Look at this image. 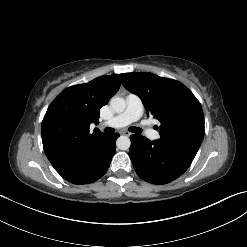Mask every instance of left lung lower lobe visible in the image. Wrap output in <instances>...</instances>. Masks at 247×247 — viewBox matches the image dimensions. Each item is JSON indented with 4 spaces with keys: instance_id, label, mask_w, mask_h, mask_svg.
I'll use <instances>...</instances> for the list:
<instances>
[{
    "instance_id": "0a47b994",
    "label": "left lung lower lobe",
    "mask_w": 247,
    "mask_h": 247,
    "mask_svg": "<svg viewBox=\"0 0 247 247\" xmlns=\"http://www.w3.org/2000/svg\"><path fill=\"white\" fill-rule=\"evenodd\" d=\"M129 156L138 176L152 184H166L181 176L194 157L166 147L161 142L131 135Z\"/></svg>"
}]
</instances>
